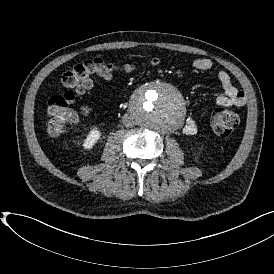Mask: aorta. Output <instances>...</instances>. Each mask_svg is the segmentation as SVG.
<instances>
[{
  "label": "aorta",
  "instance_id": "obj_1",
  "mask_svg": "<svg viewBox=\"0 0 274 274\" xmlns=\"http://www.w3.org/2000/svg\"><path fill=\"white\" fill-rule=\"evenodd\" d=\"M130 112L137 125L168 133L182 125L186 109L182 95L173 86L157 81L132 97Z\"/></svg>",
  "mask_w": 274,
  "mask_h": 274
}]
</instances>
